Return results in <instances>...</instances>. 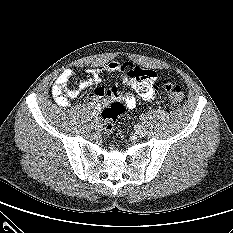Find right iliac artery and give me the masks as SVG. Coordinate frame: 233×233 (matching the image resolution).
<instances>
[{
    "instance_id": "right-iliac-artery-1",
    "label": "right iliac artery",
    "mask_w": 233,
    "mask_h": 233,
    "mask_svg": "<svg viewBox=\"0 0 233 233\" xmlns=\"http://www.w3.org/2000/svg\"><path fill=\"white\" fill-rule=\"evenodd\" d=\"M91 118L97 119L98 118V113L96 111H93L91 113Z\"/></svg>"
}]
</instances>
